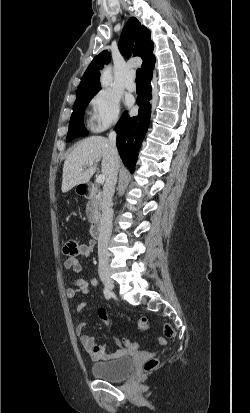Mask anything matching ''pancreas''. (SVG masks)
I'll return each mask as SVG.
<instances>
[{"label":"pancreas","instance_id":"pancreas-1","mask_svg":"<svg viewBox=\"0 0 250 413\" xmlns=\"http://www.w3.org/2000/svg\"><path fill=\"white\" fill-rule=\"evenodd\" d=\"M101 199L98 195L93 194L87 204L86 215L89 222L94 223L100 217Z\"/></svg>","mask_w":250,"mask_h":413}]
</instances>
